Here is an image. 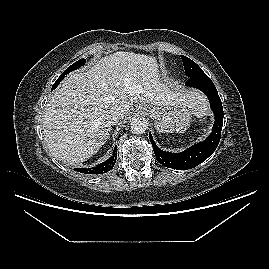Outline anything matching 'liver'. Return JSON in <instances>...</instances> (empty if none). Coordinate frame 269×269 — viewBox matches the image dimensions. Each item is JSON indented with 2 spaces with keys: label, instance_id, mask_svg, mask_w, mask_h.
I'll return each instance as SVG.
<instances>
[{
  "label": "liver",
  "instance_id": "6515ba94",
  "mask_svg": "<svg viewBox=\"0 0 269 269\" xmlns=\"http://www.w3.org/2000/svg\"><path fill=\"white\" fill-rule=\"evenodd\" d=\"M134 103L185 106L196 116L207 107L200 92L162 83L154 57L119 51L68 74L49 98L42 127L49 152L69 165L86 161L109 137L110 112L128 116Z\"/></svg>",
  "mask_w": 269,
  "mask_h": 269
}]
</instances>
